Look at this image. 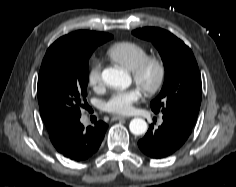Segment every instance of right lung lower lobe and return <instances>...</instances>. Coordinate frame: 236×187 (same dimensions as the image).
Instances as JSON below:
<instances>
[{
    "instance_id": "1",
    "label": "right lung lower lobe",
    "mask_w": 236,
    "mask_h": 187,
    "mask_svg": "<svg viewBox=\"0 0 236 187\" xmlns=\"http://www.w3.org/2000/svg\"><path fill=\"white\" fill-rule=\"evenodd\" d=\"M107 127L106 123L98 121L93 127L84 128L78 120L70 126L56 149L73 161H85L98 150Z\"/></svg>"
}]
</instances>
